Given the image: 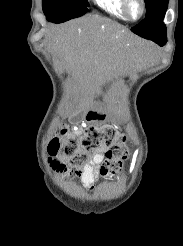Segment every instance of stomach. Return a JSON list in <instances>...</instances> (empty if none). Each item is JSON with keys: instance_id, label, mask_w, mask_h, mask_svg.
Wrapping results in <instances>:
<instances>
[{"instance_id": "1", "label": "stomach", "mask_w": 183, "mask_h": 246, "mask_svg": "<svg viewBox=\"0 0 183 246\" xmlns=\"http://www.w3.org/2000/svg\"><path fill=\"white\" fill-rule=\"evenodd\" d=\"M101 115L104 116L105 119L112 118V120H113L114 122H117V120H115L113 117L110 116L109 113H107V112H105V111H102V112H101Z\"/></svg>"}]
</instances>
